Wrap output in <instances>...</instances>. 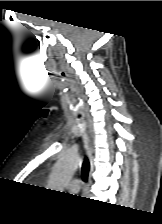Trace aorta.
I'll list each match as a JSON object with an SVG mask.
<instances>
[{
    "mask_svg": "<svg viewBox=\"0 0 162 224\" xmlns=\"http://www.w3.org/2000/svg\"><path fill=\"white\" fill-rule=\"evenodd\" d=\"M79 164L80 159L77 155L67 154L61 157L53 167L48 184L51 190L62 192L64 183L72 178Z\"/></svg>",
    "mask_w": 162,
    "mask_h": 224,
    "instance_id": "1",
    "label": "aorta"
}]
</instances>
